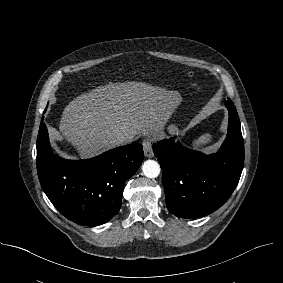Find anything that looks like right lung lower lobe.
<instances>
[{"instance_id": "98d812e1", "label": "right lung lower lobe", "mask_w": 283, "mask_h": 283, "mask_svg": "<svg viewBox=\"0 0 283 283\" xmlns=\"http://www.w3.org/2000/svg\"><path fill=\"white\" fill-rule=\"evenodd\" d=\"M143 157L137 143L92 159L66 160L54 155L43 119L40 123L36 158L40 184L58 211L80 225L106 223L119 211L124 184Z\"/></svg>"}]
</instances>
